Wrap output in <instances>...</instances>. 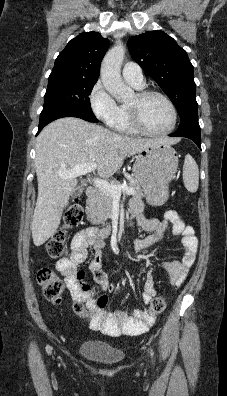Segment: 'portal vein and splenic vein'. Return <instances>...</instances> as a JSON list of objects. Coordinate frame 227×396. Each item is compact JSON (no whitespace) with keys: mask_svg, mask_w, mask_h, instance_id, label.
I'll use <instances>...</instances> for the list:
<instances>
[{"mask_svg":"<svg viewBox=\"0 0 227 396\" xmlns=\"http://www.w3.org/2000/svg\"><path fill=\"white\" fill-rule=\"evenodd\" d=\"M97 164L96 163H83L75 166L72 170L70 171H63L60 172L59 176L61 178H76L81 175H85L87 173H90L91 171L96 170ZM94 185L101 191H103L106 194H109L113 197H120L122 193L128 194V195H133L134 190L130 188L127 185H114L109 183L106 180L99 179V178H94L93 179Z\"/></svg>","mask_w":227,"mask_h":396,"instance_id":"18ae733b","label":"portal vein and splenic vein"}]
</instances>
